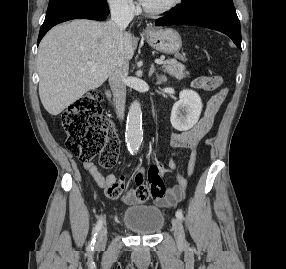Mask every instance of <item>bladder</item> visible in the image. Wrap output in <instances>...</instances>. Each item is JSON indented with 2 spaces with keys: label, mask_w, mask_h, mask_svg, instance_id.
<instances>
[{
  "label": "bladder",
  "mask_w": 286,
  "mask_h": 269,
  "mask_svg": "<svg viewBox=\"0 0 286 269\" xmlns=\"http://www.w3.org/2000/svg\"><path fill=\"white\" fill-rule=\"evenodd\" d=\"M122 224L136 234L155 235L164 228L165 215L153 205H134L123 211Z\"/></svg>",
  "instance_id": "31cf9c89"
}]
</instances>
